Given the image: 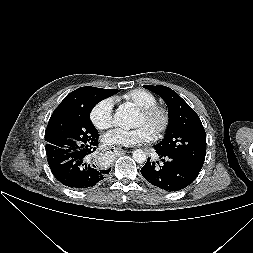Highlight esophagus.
<instances>
[{"mask_svg":"<svg viewBox=\"0 0 253 253\" xmlns=\"http://www.w3.org/2000/svg\"><path fill=\"white\" fill-rule=\"evenodd\" d=\"M106 150L108 153L115 154V155H120L123 152L121 148L114 147V146H110Z\"/></svg>","mask_w":253,"mask_h":253,"instance_id":"esophagus-1","label":"esophagus"}]
</instances>
